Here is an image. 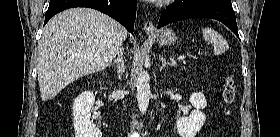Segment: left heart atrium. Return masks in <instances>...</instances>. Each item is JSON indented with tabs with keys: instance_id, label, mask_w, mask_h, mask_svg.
<instances>
[{
	"instance_id": "left-heart-atrium-1",
	"label": "left heart atrium",
	"mask_w": 280,
	"mask_h": 137,
	"mask_svg": "<svg viewBox=\"0 0 280 137\" xmlns=\"http://www.w3.org/2000/svg\"><path fill=\"white\" fill-rule=\"evenodd\" d=\"M152 2L156 3V4H160V3H167L169 2V0H151Z\"/></svg>"
}]
</instances>
